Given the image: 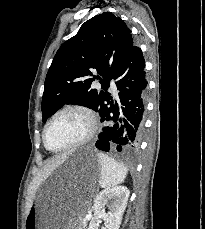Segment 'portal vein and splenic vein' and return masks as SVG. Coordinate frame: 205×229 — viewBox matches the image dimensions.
Returning <instances> with one entry per match:
<instances>
[{"instance_id":"obj_1","label":"portal vein and splenic vein","mask_w":205,"mask_h":229,"mask_svg":"<svg viewBox=\"0 0 205 229\" xmlns=\"http://www.w3.org/2000/svg\"><path fill=\"white\" fill-rule=\"evenodd\" d=\"M86 219H89V215L86 216Z\"/></svg>"}]
</instances>
